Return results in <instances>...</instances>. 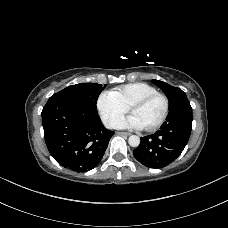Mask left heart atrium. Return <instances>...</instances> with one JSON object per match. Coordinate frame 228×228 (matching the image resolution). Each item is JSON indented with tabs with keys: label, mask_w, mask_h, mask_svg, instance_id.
I'll list each match as a JSON object with an SVG mask.
<instances>
[{
	"label": "left heart atrium",
	"mask_w": 228,
	"mask_h": 228,
	"mask_svg": "<svg viewBox=\"0 0 228 228\" xmlns=\"http://www.w3.org/2000/svg\"><path fill=\"white\" fill-rule=\"evenodd\" d=\"M117 128H130V129H142V125L133 115L128 116L127 118L120 119L115 124Z\"/></svg>",
	"instance_id": "1"
}]
</instances>
